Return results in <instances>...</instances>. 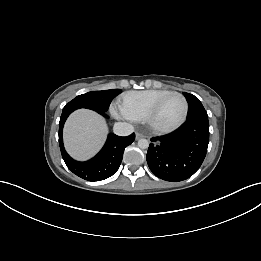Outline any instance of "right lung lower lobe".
Wrapping results in <instances>:
<instances>
[{
	"label": "right lung lower lobe",
	"mask_w": 261,
	"mask_h": 261,
	"mask_svg": "<svg viewBox=\"0 0 261 261\" xmlns=\"http://www.w3.org/2000/svg\"><path fill=\"white\" fill-rule=\"evenodd\" d=\"M74 110L76 109H63L59 122V145L64 162L74 174L84 180L100 181L109 178L118 170L123 158V152L134 141L135 134L133 133L127 137L109 134L104 147L94 158L86 162H78L67 154L62 138L64 123ZM100 114L107 117L104 113Z\"/></svg>",
	"instance_id": "98d812e1"
}]
</instances>
